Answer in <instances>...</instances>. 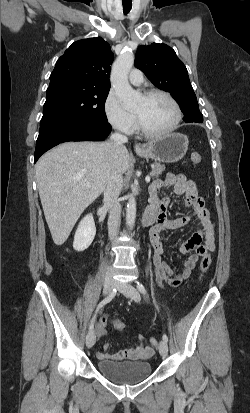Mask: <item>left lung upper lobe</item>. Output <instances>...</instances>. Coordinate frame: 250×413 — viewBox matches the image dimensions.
I'll list each match as a JSON object with an SVG mask.
<instances>
[{"mask_svg": "<svg viewBox=\"0 0 250 413\" xmlns=\"http://www.w3.org/2000/svg\"><path fill=\"white\" fill-rule=\"evenodd\" d=\"M135 66L159 89L169 92L184 115L202 116L187 69L175 51L166 44L139 46Z\"/></svg>", "mask_w": 250, "mask_h": 413, "instance_id": "1", "label": "left lung upper lobe"}]
</instances>
